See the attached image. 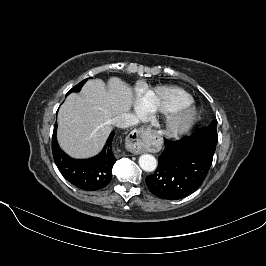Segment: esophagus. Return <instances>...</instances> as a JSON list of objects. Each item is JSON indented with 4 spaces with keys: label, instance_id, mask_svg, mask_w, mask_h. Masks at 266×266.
<instances>
[{
    "label": "esophagus",
    "instance_id": "1",
    "mask_svg": "<svg viewBox=\"0 0 266 266\" xmlns=\"http://www.w3.org/2000/svg\"><path fill=\"white\" fill-rule=\"evenodd\" d=\"M148 136V130L143 127L132 131L126 138L127 150L136 155L143 153L145 151L144 142Z\"/></svg>",
    "mask_w": 266,
    "mask_h": 266
}]
</instances>
